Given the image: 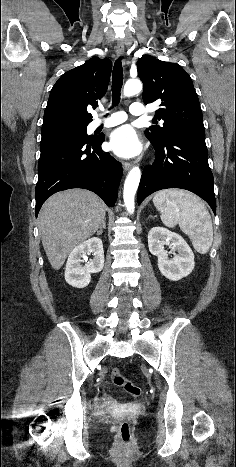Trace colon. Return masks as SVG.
<instances>
[{
    "label": "colon",
    "mask_w": 236,
    "mask_h": 467,
    "mask_svg": "<svg viewBox=\"0 0 236 467\" xmlns=\"http://www.w3.org/2000/svg\"><path fill=\"white\" fill-rule=\"evenodd\" d=\"M112 382L124 389L127 393L139 397L142 394V390L140 387L134 385L131 381L125 378L119 368H114L111 372ZM118 434L120 441L123 444H130L132 441V430L130 424L126 421H123L118 426Z\"/></svg>",
    "instance_id": "obj_1"
}]
</instances>
